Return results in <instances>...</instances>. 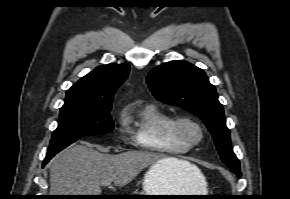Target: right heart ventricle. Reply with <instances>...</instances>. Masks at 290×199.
I'll return each instance as SVG.
<instances>
[{"instance_id":"right-heart-ventricle-1","label":"right heart ventricle","mask_w":290,"mask_h":199,"mask_svg":"<svg viewBox=\"0 0 290 199\" xmlns=\"http://www.w3.org/2000/svg\"><path fill=\"white\" fill-rule=\"evenodd\" d=\"M172 120V116L149 104L135 115L127 116L125 121L133 142L139 148L166 156H178L188 152L190 147L169 134Z\"/></svg>"}]
</instances>
